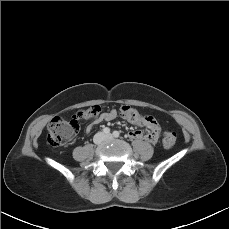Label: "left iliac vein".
<instances>
[{
	"instance_id": "1",
	"label": "left iliac vein",
	"mask_w": 229,
	"mask_h": 229,
	"mask_svg": "<svg viewBox=\"0 0 229 229\" xmlns=\"http://www.w3.org/2000/svg\"><path fill=\"white\" fill-rule=\"evenodd\" d=\"M113 138V136L111 135V134H108L107 136H106V139H112Z\"/></svg>"
}]
</instances>
